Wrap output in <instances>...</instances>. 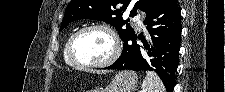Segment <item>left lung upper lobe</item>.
<instances>
[{"mask_svg":"<svg viewBox=\"0 0 225 92\" xmlns=\"http://www.w3.org/2000/svg\"><path fill=\"white\" fill-rule=\"evenodd\" d=\"M164 0H72L67 6L60 27L64 29L70 22L78 19H93L113 25L119 32L121 40L126 41L134 36V30L129 27L128 20H123L122 15L127 7H132L130 17L136 11L142 10L147 14ZM126 25V29L123 26Z\"/></svg>","mask_w":225,"mask_h":92,"instance_id":"left-lung-upper-lobe-1","label":"left lung upper lobe"}]
</instances>
